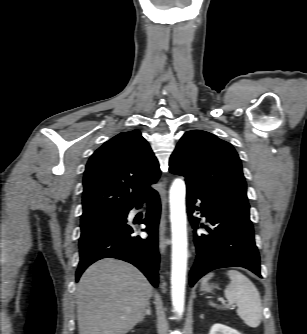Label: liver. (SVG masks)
Returning a JSON list of instances; mask_svg holds the SVG:
<instances>
[{"instance_id":"liver-1","label":"liver","mask_w":307,"mask_h":334,"mask_svg":"<svg viewBox=\"0 0 307 334\" xmlns=\"http://www.w3.org/2000/svg\"><path fill=\"white\" fill-rule=\"evenodd\" d=\"M153 288L133 265L101 259L81 276L76 290L79 334H126L140 321Z\"/></svg>"}]
</instances>
